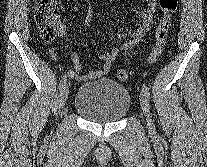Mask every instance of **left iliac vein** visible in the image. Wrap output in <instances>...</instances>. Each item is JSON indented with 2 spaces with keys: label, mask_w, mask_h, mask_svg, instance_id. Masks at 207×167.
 Segmentation results:
<instances>
[{
  "label": "left iliac vein",
  "mask_w": 207,
  "mask_h": 167,
  "mask_svg": "<svg viewBox=\"0 0 207 167\" xmlns=\"http://www.w3.org/2000/svg\"><path fill=\"white\" fill-rule=\"evenodd\" d=\"M140 104H141V108H142L143 113H144L145 118H146L148 131H149L150 134H154L155 133V127H154V123H153L152 116H151V113H150L148 100H147L146 96L143 93H141V95H140Z\"/></svg>",
  "instance_id": "obj_1"
}]
</instances>
